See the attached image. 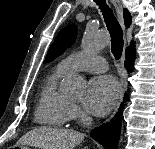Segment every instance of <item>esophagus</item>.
Listing matches in <instances>:
<instances>
[{"label": "esophagus", "instance_id": "1", "mask_svg": "<svg viewBox=\"0 0 155 149\" xmlns=\"http://www.w3.org/2000/svg\"><path fill=\"white\" fill-rule=\"evenodd\" d=\"M110 1L116 10L118 20L122 26V29H123V31H125L122 3L120 2V0H110ZM126 76H127V74H126V70L124 67V55H123L121 58V62H120V86H119L118 100H117V105H116V108H115L112 116H114L115 113L118 111L119 106H120L121 102L123 101L124 93L127 88Z\"/></svg>", "mask_w": 155, "mask_h": 149}]
</instances>
